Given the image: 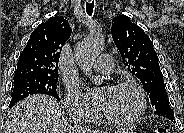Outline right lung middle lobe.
Returning <instances> with one entry per match:
<instances>
[{
	"mask_svg": "<svg viewBox=\"0 0 184 133\" xmlns=\"http://www.w3.org/2000/svg\"><path fill=\"white\" fill-rule=\"evenodd\" d=\"M58 76L56 77H20L14 78V88L12 92V100L9 108H12L18 101L33 94H47L59 100L56 92Z\"/></svg>",
	"mask_w": 184,
	"mask_h": 133,
	"instance_id": "dd1d6c3e",
	"label": "right lung middle lobe"
}]
</instances>
